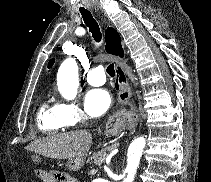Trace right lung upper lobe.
I'll list each match as a JSON object with an SVG mask.
<instances>
[{"label": "right lung upper lobe", "mask_w": 211, "mask_h": 182, "mask_svg": "<svg viewBox=\"0 0 211 182\" xmlns=\"http://www.w3.org/2000/svg\"><path fill=\"white\" fill-rule=\"evenodd\" d=\"M105 41H106L105 49L108 53L120 56L123 54L121 46V38L115 29L108 28L105 31ZM54 61L55 59H51L49 61L48 68L52 67Z\"/></svg>", "instance_id": "1"}]
</instances>
